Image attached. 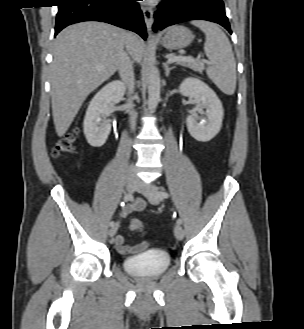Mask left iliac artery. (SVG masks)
Segmentation results:
<instances>
[{"label": "left iliac artery", "instance_id": "left-iliac-artery-1", "mask_svg": "<svg viewBox=\"0 0 304 329\" xmlns=\"http://www.w3.org/2000/svg\"><path fill=\"white\" fill-rule=\"evenodd\" d=\"M159 195L161 196V198H165V199L169 198V194L164 190L160 191ZM177 224L178 225L182 224V220L180 218L177 219Z\"/></svg>", "mask_w": 304, "mask_h": 329}]
</instances>
